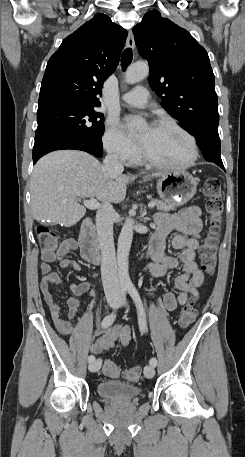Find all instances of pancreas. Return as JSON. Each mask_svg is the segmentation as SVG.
Segmentation results:
<instances>
[{
  "mask_svg": "<svg viewBox=\"0 0 245 457\" xmlns=\"http://www.w3.org/2000/svg\"><path fill=\"white\" fill-rule=\"evenodd\" d=\"M153 202H156L155 206L157 210H175L176 206H178L177 202H163V200H158V198H152Z\"/></svg>",
  "mask_w": 245,
  "mask_h": 457,
  "instance_id": "1",
  "label": "pancreas"
}]
</instances>
